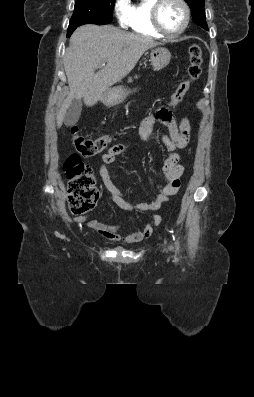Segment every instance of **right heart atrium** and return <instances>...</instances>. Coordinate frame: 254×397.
I'll return each mask as SVG.
<instances>
[{
  "label": "right heart atrium",
  "instance_id": "right-heart-atrium-1",
  "mask_svg": "<svg viewBox=\"0 0 254 397\" xmlns=\"http://www.w3.org/2000/svg\"><path fill=\"white\" fill-rule=\"evenodd\" d=\"M114 11L120 26L122 27L128 26L130 14H131L130 0H115Z\"/></svg>",
  "mask_w": 254,
  "mask_h": 397
}]
</instances>
